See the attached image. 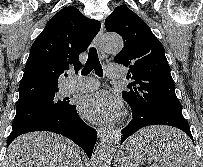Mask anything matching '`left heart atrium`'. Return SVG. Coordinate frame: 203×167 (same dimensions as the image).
<instances>
[{"label":"left heart atrium","instance_id":"left-heart-atrium-1","mask_svg":"<svg viewBox=\"0 0 203 167\" xmlns=\"http://www.w3.org/2000/svg\"><path fill=\"white\" fill-rule=\"evenodd\" d=\"M80 113L96 123H109L116 120L121 112L118 98L107 91H99L84 96L79 103Z\"/></svg>","mask_w":203,"mask_h":167}]
</instances>
